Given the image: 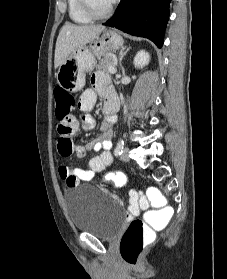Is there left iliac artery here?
I'll return each instance as SVG.
<instances>
[{
  "instance_id": "1",
  "label": "left iliac artery",
  "mask_w": 227,
  "mask_h": 279,
  "mask_svg": "<svg viewBox=\"0 0 227 279\" xmlns=\"http://www.w3.org/2000/svg\"><path fill=\"white\" fill-rule=\"evenodd\" d=\"M124 149V141L122 138L118 140L117 146L114 150L115 156L121 155Z\"/></svg>"
}]
</instances>
